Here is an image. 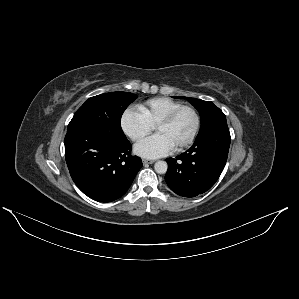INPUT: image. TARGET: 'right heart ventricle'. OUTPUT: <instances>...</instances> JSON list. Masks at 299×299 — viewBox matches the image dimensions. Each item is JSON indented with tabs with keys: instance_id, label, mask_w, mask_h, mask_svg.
<instances>
[{
	"instance_id": "right-heart-ventricle-1",
	"label": "right heart ventricle",
	"mask_w": 299,
	"mask_h": 299,
	"mask_svg": "<svg viewBox=\"0 0 299 299\" xmlns=\"http://www.w3.org/2000/svg\"><path fill=\"white\" fill-rule=\"evenodd\" d=\"M183 105L182 102L170 98L156 97L140 103L138 111L152 127H155L167 114Z\"/></svg>"
}]
</instances>
